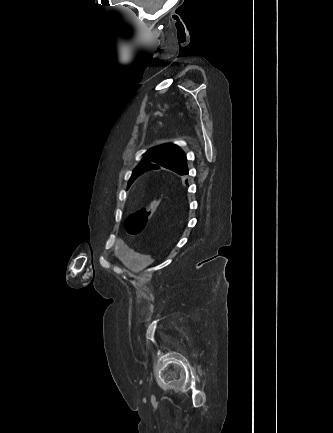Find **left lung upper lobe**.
<instances>
[{"mask_svg": "<svg viewBox=\"0 0 333 433\" xmlns=\"http://www.w3.org/2000/svg\"><path fill=\"white\" fill-rule=\"evenodd\" d=\"M152 165L156 169L165 167L180 175L188 173L187 160L184 152L174 144H164L149 149L142 158L141 163L135 168L129 180V185L146 171V167Z\"/></svg>", "mask_w": 333, "mask_h": 433, "instance_id": "5c2ea615", "label": "left lung upper lobe"}]
</instances>
